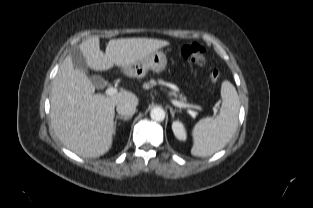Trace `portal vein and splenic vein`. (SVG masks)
<instances>
[{"label": "portal vein and splenic vein", "mask_w": 313, "mask_h": 208, "mask_svg": "<svg viewBox=\"0 0 313 208\" xmlns=\"http://www.w3.org/2000/svg\"><path fill=\"white\" fill-rule=\"evenodd\" d=\"M118 93V90L117 88H114V87H109L106 89L105 91V94L107 96H114ZM172 104L179 107V108H187L188 109V113L190 115H194V113L190 110L191 108L192 109H196V110H199V111H202L203 108L199 105H193V104H187V103H183V102H180V101H177V100H171ZM213 110L216 111L217 110V107H213Z\"/></svg>", "instance_id": "obj_1"}]
</instances>
